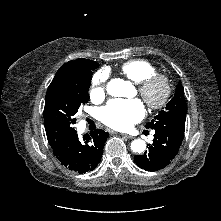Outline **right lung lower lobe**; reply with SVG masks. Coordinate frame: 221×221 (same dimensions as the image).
<instances>
[{
	"label": "right lung lower lobe",
	"mask_w": 221,
	"mask_h": 221,
	"mask_svg": "<svg viewBox=\"0 0 221 221\" xmlns=\"http://www.w3.org/2000/svg\"><path fill=\"white\" fill-rule=\"evenodd\" d=\"M108 137V132L99 129L80 139L74 131L65 140L50 146L62 165L79 174H84L97 167Z\"/></svg>",
	"instance_id": "1"
}]
</instances>
